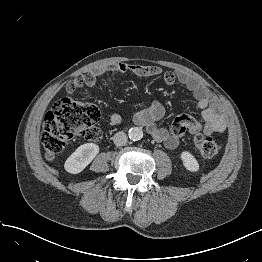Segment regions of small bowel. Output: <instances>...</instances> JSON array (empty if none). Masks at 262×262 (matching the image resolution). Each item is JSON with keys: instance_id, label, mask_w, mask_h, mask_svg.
I'll use <instances>...</instances> for the list:
<instances>
[{"instance_id": "1", "label": "small bowel", "mask_w": 262, "mask_h": 262, "mask_svg": "<svg viewBox=\"0 0 262 262\" xmlns=\"http://www.w3.org/2000/svg\"><path fill=\"white\" fill-rule=\"evenodd\" d=\"M131 74L138 77H149L159 75L162 71L158 66H140L129 65L125 62L102 66L92 72V80L87 86L107 85L111 78L118 74ZM164 80L167 85H174L179 82L184 86L197 100L198 107L201 110V121L194 120L187 114L179 115L172 124L169 131L156 124L164 116L163 106L155 102L152 105L139 110L134 120L147 129L157 141L162 142L169 149L178 146L181 137L186 132H202L205 135L224 134L227 131L226 120L221 114L222 106L217 98L193 76L182 71H168L164 74ZM121 118L117 114L110 116V125L118 126Z\"/></svg>"}]
</instances>
